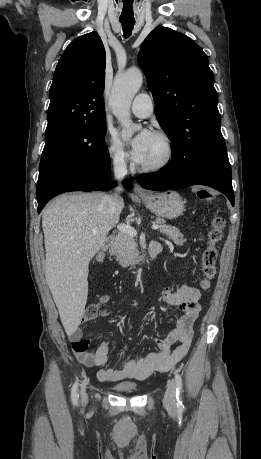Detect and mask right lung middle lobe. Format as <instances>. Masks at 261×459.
<instances>
[{
  "mask_svg": "<svg viewBox=\"0 0 261 459\" xmlns=\"http://www.w3.org/2000/svg\"><path fill=\"white\" fill-rule=\"evenodd\" d=\"M106 119L46 132L37 191L56 176L83 167H110L104 146Z\"/></svg>",
  "mask_w": 261,
  "mask_h": 459,
  "instance_id": "obj_1",
  "label": "right lung middle lobe"
}]
</instances>
